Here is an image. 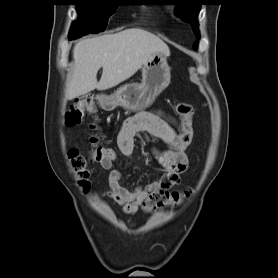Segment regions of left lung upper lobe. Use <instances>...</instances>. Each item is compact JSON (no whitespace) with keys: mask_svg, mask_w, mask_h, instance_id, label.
<instances>
[{"mask_svg":"<svg viewBox=\"0 0 278 278\" xmlns=\"http://www.w3.org/2000/svg\"><path fill=\"white\" fill-rule=\"evenodd\" d=\"M164 4L176 5L178 15H181L183 20L189 22L193 28L194 34L199 38L197 16L200 11L201 3L199 0H163ZM198 42L196 41L193 48H197Z\"/></svg>","mask_w":278,"mask_h":278,"instance_id":"1","label":"left lung upper lobe"}]
</instances>
